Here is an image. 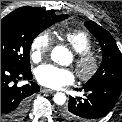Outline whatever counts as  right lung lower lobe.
<instances>
[{
  "label": "right lung lower lobe",
  "instance_id": "1",
  "mask_svg": "<svg viewBox=\"0 0 122 122\" xmlns=\"http://www.w3.org/2000/svg\"><path fill=\"white\" fill-rule=\"evenodd\" d=\"M20 79H32L30 69H18L1 61V122H20L27 111L28 97L40 90L34 82L18 87Z\"/></svg>",
  "mask_w": 122,
  "mask_h": 122
}]
</instances>
